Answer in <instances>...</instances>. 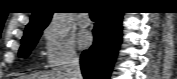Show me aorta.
Wrapping results in <instances>:
<instances>
[{"mask_svg":"<svg viewBox=\"0 0 177 79\" xmlns=\"http://www.w3.org/2000/svg\"><path fill=\"white\" fill-rule=\"evenodd\" d=\"M50 26L59 35H66L71 27L68 13H54Z\"/></svg>","mask_w":177,"mask_h":79,"instance_id":"obj_1","label":"aorta"}]
</instances>
